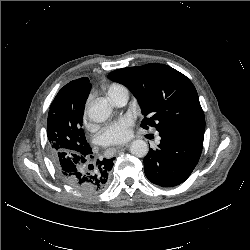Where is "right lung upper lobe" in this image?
<instances>
[{
	"label": "right lung upper lobe",
	"instance_id": "1",
	"mask_svg": "<svg viewBox=\"0 0 250 250\" xmlns=\"http://www.w3.org/2000/svg\"><path fill=\"white\" fill-rule=\"evenodd\" d=\"M91 90V84L87 77L73 80L65 85L57 94L54 100H61L70 109V113L76 111L85 104Z\"/></svg>",
	"mask_w": 250,
	"mask_h": 250
}]
</instances>
